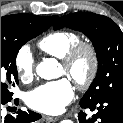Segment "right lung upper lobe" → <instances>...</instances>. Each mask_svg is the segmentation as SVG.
Returning <instances> with one entry per match:
<instances>
[{
	"mask_svg": "<svg viewBox=\"0 0 123 123\" xmlns=\"http://www.w3.org/2000/svg\"><path fill=\"white\" fill-rule=\"evenodd\" d=\"M58 19V16H36L31 14H14L1 17V26H9L14 23H36L43 22L49 27Z\"/></svg>",
	"mask_w": 123,
	"mask_h": 123,
	"instance_id": "cb5924a9",
	"label": "right lung upper lobe"
}]
</instances>
